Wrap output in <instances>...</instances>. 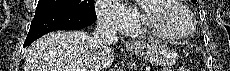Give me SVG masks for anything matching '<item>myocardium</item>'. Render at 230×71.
Returning <instances> with one entry per match:
<instances>
[{"label":"myocardium","instance_id":"1","mask_svg":"<svg viewBox=\"0 0 230 71\" xmlns=\"http://www.w3.org/2000/svg\"><path fill=\"white\" fill-rule=\"evenodd\" d=\"M158 0H146L144 2L151 3ZM172 6L180 9L185 13V15L188 17L189 20V29L184 33H174L167 30L162 29L155 23L151 21L148 15V10L150 5L146 7V4L141 3L140 4V15H141V24H142V30L150 33L151 35L161 38V39H167V40H181L186 39L189 36H191L196 29V21L195 18L191 12V10L180 0H172Z\"/></svg>","mask_w":230,"mask_h":71}]
</instances>
